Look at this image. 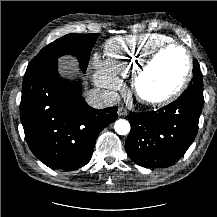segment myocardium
I'll use <instances>...</instances> for the list:
<instances>
[{
	"label": "myocardium",
	"instance_id": "1",
	"mask_svg": "<svg viewBox=\"0 0 217 217\" xmlns=\"http://www.w3.org/2000/svg\"><path fill=\"white\" fill-rule=\"evenodd\" d=\"M170 49H180L184 52L187 58V71H186L185 76L183 77L180 84L172 92L164 96L157 97V98H149V97L143 96L139 90V84L142 78L147 73V71L153 66V64L156 62L158 57L163 52L170 50ZM192 77H193V58L188 48L177 42H168L154 49L140 63V65L137 67V69L133 73L131 87H132V91L134 95L140 102L146 105H149V106H163V105L169 104L177 100L189 86V83L191 82Z\"/></svg>",
	"mask_w": 217,
	"mask_h": 217
}]
</instances>
